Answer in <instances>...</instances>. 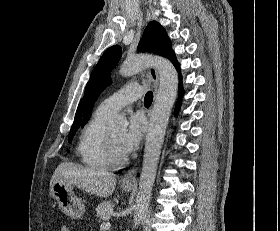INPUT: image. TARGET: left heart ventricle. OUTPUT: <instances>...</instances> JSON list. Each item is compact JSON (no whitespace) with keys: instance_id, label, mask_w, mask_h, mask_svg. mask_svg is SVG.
<instances>
[{"instance_id":"left-heart-ventricle-1","label":"left heart ventricle","mask_w":280,"mask_h":231,"mask_svg":"<svg viewBox=\"0 0 280 231\" xmlns=\"http://www.w3.org/2000/svg\"><path fill=\"white\" fill-rule=\"evenodd\" d=\"M123 131H124L123 128H114V129L108 130L110 137L112 139V143L114 145L115 151L118 154H123L118 147V139H119L120 135L123 133Z\"/></svg>"}]
</instances>
